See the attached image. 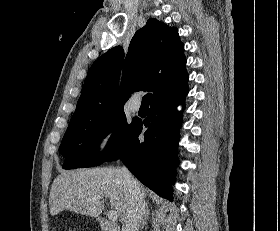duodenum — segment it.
I'll return each mask as SVG.
<instances>
[{
	"mask_svg": "<svg viewBox=\"0 0 280 231\" xmlns=\"http://www.w3.org/2000/svg\"><path fill=\"white\" fill-rule=\"evenodd\" d=\"M99 223L103 231H121V229L117 225L113 224L106 217H100Z\"/></svg>",
	"mask_w": 280,
	"mask_h": 231,
	"instance_id": "duodenum-1",
	"label": "duodenum"
}]
</instances>
